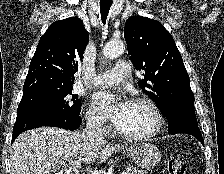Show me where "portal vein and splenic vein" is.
Listing matches in <instances>:
<instances>
[{
	"mask_svg": "<svg viewBox=\"0 0 224 174\" xmlns=\"http://www.w3.org/2000/svg\"><path fill=\"white\" fill-rule=\"evenodd\" d=\"M80 164H81L80 160H77L73 163L75 171H77V169L80 167ZM121 174H130V171L123 172Z\"/></svg>",
	"mask_w": 224,
	"mask_h": 174,
	"instance_id": "obj_1",
	"label": "portal vein and splenic vein"
}]
</instances>
